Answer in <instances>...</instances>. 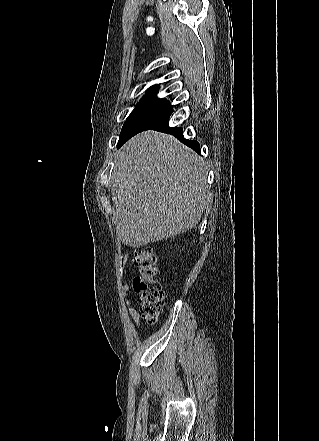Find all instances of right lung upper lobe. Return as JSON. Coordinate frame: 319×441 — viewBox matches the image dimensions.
Returning a JSON list of instances; mask_svg holds the SVG:
<instances>
[{
    "label": "right lung upper lobe",
    "instance_id": "1",
    "mask_svg": "<svg viewBox=\"0 0 319 441\" xmlns=\"http://www.w3.org/2000/svg\"><path fill=\"white\" fill-rule=\"evenodd\" d=\"M157 89H158V85H153L152 87H150V88L146 91L147 95L144 96L143 99H146V100L167 101L166 99H159V98L157 97V95H156V93H157ZM167 102H168V101H167Z\"/></svg>",
    "mask_w": 319,
    "mask_h": 441
}]
</instances>
